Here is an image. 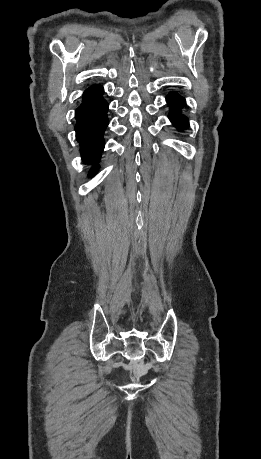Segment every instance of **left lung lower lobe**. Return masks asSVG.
<instances>
[{"mask_svg":"<svg viewBox=\"0 0 261 459\" xmlns=\"http://www.w3.org/2000/svg\"><path fill=\"white\" fill-rule=\"evenodd\" d=\"M167 102L171 108V115L169 117L172 123L179 129L187 128L188 121L186 117L178 113V111L185 105L184 98L180 97L177 93H171L167 97Z\"/></svg>","mask_w":261,"mask_h":459,"instance_id":"1","label":"left lung lower lobe"}]
</instances>
